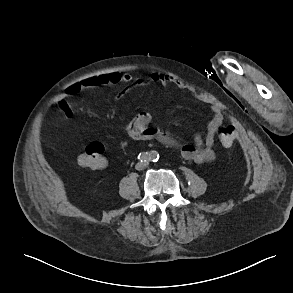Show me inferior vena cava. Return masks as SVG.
Segmentation results:
<instances>
[{
    "instance_id": "obj_1",
    "label": "inferior vena cava",
    "mask_w": 293,
    "mask_h": 293,
    "mask_svg": "<svg viewBox=\"0 0 293 293\" xmlns=\"http://www.w3.org/2000/svg\"><path fill=\"white\" fill-rule=\"evenodd\" d=\"M144 167H146V163H142V164H138L137 166H136V168L137 169H142V168H144Z\"/></svg>"
}]
</instances>
